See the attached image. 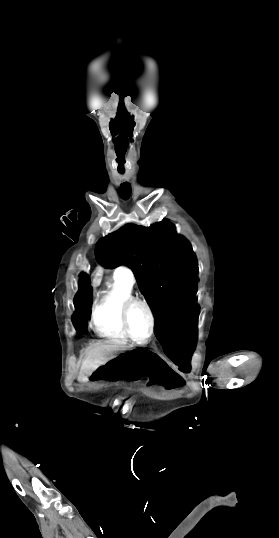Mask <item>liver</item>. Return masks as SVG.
<instances>
[{
  "mask_svg": "<svg viewBox=\"0 0 279 538\" xmlns=\"http://www.w3.org/2000/svg\"><path fill=\"white\" fill-rule=\"evenodd\" d=\"M125 346L118 344V342H105V344H95L92 346L86 360H84L81 370L80 378H86L92 372H95L99 366L106 364L108 360L115 358L114 354L118 350H124Z\"/></svg>",
  "mask_w": 279,
  "mask_h": 538,
  "instance_id": "liver-1",
  "label": "liver"
}]
</instances>
